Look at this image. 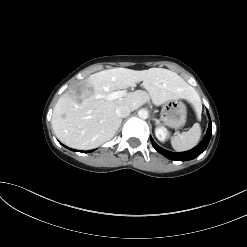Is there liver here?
I'll return each instance as SVG.
<instances>
[{
  "label": "liver",
  "mask_w": 247,
  "mask_h": 247,
  "mask_svg": "<svg viewBox=\"0 0 247 247\" xmlns=\"http://www.w3.org/2000/svg\"><path fill=\"white\" fill-rule=\"evenodd\" d=\"M140 82L145 90H136L114 100L106 98L109 93ZM150 99L159 106L177 99L196 103L199 96L178 74L168 69H108L84 80L80 95L70 89L58 99L52 127L57 138L69 147L93 149L109 141L118 130L122 122L116 115L118 106L127 105L134 111Z\"/></svg>",
  "instance_id": "obj_1"
}]
</instances>
